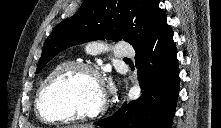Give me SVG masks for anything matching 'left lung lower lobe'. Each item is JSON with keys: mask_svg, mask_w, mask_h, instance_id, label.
Wrapping results in <instances>:
<instances>
[{"mask_svg": "<svg viewBox=\"0 0 221 128\" xmlns=\"http://www.w3.org/2000/svg\"><path fill=\"white\" fill-rule=\"evenodd\" d=\"M134 49L142 95L94 124L106 128H171L179 92V68L166 16Z\"/></svg>", "mask_w": 221, "mask_h": 128, "instance_id": "0a47b994", "label": "left lung lower lobe"}]
</instances>
